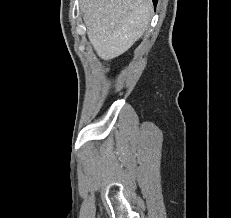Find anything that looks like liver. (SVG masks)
Instances as JSON below:
<instances>
[{"label": "liver", "instance_id": "liver-1", "mask_svg": "<svg viewBox=\"0 0 231 218\" xmlns=\"http://www.w3.org/2000/svg\"><path fill=\"white\" fill-rule=\"evenodd\" d=\"M87 35L97 55L111 60L125 53L146 31L151 0H80Z\"/></svg>", "mask_w": 231, "mask_h": 218}]
</instances>
